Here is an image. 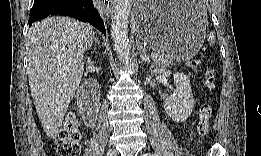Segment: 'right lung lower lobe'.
<instances>
[{"instance_id":"obj_1","label":"right lung lower lobe","mask_w":261,"mask_h":156,"mask_svg":"<svg viewBox=\"0 0 261 156\" xmlns=\"http://www.w3.org/2000/svg\"><path fill=\"white\" fill-rule=\"evenodd\" d=\"M49 15L70 16L89 22L102 33H106L104 22L91 0H35L30 13L29 26Z\"/></svg>"}]
</instances>
